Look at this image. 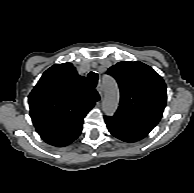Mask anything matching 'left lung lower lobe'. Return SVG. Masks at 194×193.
<instances>
[{
    "label": "left lung lower lobe",
    "mask_w": 194,
    "mask_h": 193,
    "mask_svg": "<svg viewBox=\"0 0 194 193\" xmlns=\"http://www.w3.org/2000/svg\"><path fill=\"white\" fill-rule=\"evenodd\" d=\"M109 132L124 142H136L154 128L118 115L104 117Z\"/></svg>",
    "instance_id": "left-lung-lower-lobe-1"
}]
</instances>
